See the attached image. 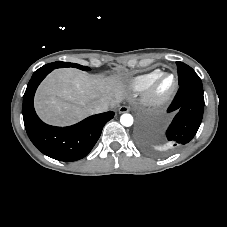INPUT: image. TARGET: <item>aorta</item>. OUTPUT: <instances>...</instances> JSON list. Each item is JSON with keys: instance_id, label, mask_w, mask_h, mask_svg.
Segmentation results:
<instances>
[{"instance_id": "762f6f07", "label": "aorta", "mask_w": 227, "mask_h": 227, "mask_svg": "<svg viewBox=\"0 0 227 227\" xmlns=\"http://www.w3.org/2000/svg\"><path fill=\"white\" fill-rule=\"evenodd\" d=\"M120 122L123 126L129 127L133 124V117L131 114H123L120 117Z\"/></svg>"}]
</instances>
